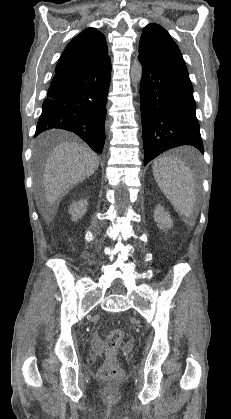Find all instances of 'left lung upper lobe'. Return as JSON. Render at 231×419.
Masks as SVG:
<instances>
[{
  "mask_svg": "<svg viewBox=\"0 0 231 419\" xmlns=\"http://www.w3.org/2000/svg\"><path fill=\"white\" fill-rule=\"evenodd\" d=\"M139 58L155 65L186 70L182 54L169 33L160 25L148 24L139 43Z\"/></svg>",
  "mask_w": 231,
  "mask_h": 419,
  "instance_id": "5c2ea615",
  "label": "left lung upper lobe"
}]
</instances>
